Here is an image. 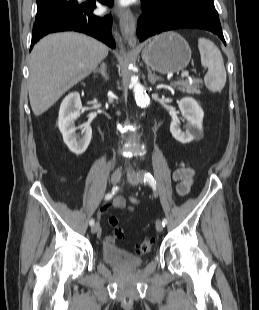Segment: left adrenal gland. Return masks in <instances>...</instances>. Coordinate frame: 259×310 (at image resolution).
I'll use <instances>...</instances> for the list:
<instances>
[{"instance_id":"1","label":"left adrenal gland","mask_w":259,"mask_h":310,"mask_svg":"<svg viewBox=\"0 0 259 310\" xmlns=\"http://www.w3.org/2000/svg\"><path fill=\"white\" fill-rule=\"evenodd\" d=\"M147 71H148V81L151 83V85H154L156 81L162 80L159 76L152 73V71L149 68H147Z\"/></svg>"}]
</instances>
